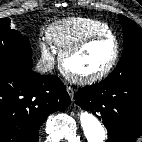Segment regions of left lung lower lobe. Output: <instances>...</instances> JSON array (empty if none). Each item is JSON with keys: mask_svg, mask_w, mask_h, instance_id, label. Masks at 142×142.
<instances>
[{"mask_svg": "<svg viewBox=\"0 0 142 142\" xmlns=\"http://www.w3.org/2000/svg\"><path fill=\"white\" fill-rule=\"evenodd\" d=\"M75 102L103 120L106 142H131L142 135V74L83 87Z\"/></svg>", "mask_w": 142, "mask_h": 142, "instance_id": "obj_1", "label": "left lung lower lobe"}]
</instances>
